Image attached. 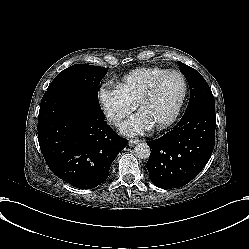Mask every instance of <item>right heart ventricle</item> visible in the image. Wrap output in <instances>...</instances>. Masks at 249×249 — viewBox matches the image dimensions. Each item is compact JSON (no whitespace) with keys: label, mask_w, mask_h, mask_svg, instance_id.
<instances>
[{"label":"right heart ventricle","mask_w":249,"mask_h":249,"mask_svg":"<svg viewBox=\"0 0 249 249\" xmlns=\"http://www.w3.org/2000/svg\"><path fill=\"white\" fill-rule=\"evenodd\" d=\"M166 73L165 70L155 67L137 69L125 77L123 83L117 87L116 93L131 106H136Z\"/></svg>","instance_id":"obj_1"}]
</instances>
